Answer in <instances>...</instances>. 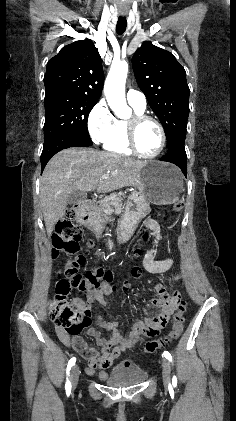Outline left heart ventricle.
<instances>
[{"label":"left heart ventricle","mask_w":236,"mask_h":421,"mask_svg":"<svg viewBox=\"0 0 236 421\" xmlns=\"http://www.w3.org/2000/svg\"><path fill=\"white\" fill-rule=\"evenodd\" d=\"M135 141L139 151L146 155L154 154L160 145L157 127L150 121H142L135 128Z\"/></svg>","instance_id":"b2bd125f"}]
</instances>
